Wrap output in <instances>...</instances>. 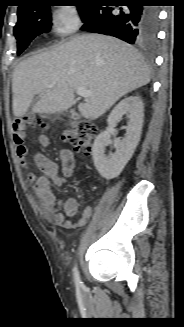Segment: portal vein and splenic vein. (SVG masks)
<instances>
[{
  "label": "portal vein and splenic vein",
  "instance_id": "1",
  "mask_svg": "<svg viewBox=\"0 0 184 327\" xmlns=\"http://www.w3.org/2000/svg\"><path fill=\"white\" fill-rule=\"evenodd\" d=\"M48 88H52V86H48ZM77 94L81 97H87L91 95V92L84 87H80L77 89Z\"/></svg>",
  "mask_w": 184,
  "mask_h": 327
}]
</instances>
